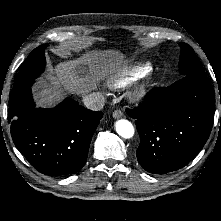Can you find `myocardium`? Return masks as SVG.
<instances>
[{
    "instance_id": "1",
    "label": "myocardium",
    "mask_w": 221,
    "mask_h": 221,
    "mask_svg": "<svg viewBox=\"0 0 221 221\" xmlns=\"http://www.w3.org/2000/svg\"><path fill=\"white\" fill-rule=\"evenodd\" d=\"M152 82V77H148L143 83H141L133 92V97L137 100H141L147 94Z\"/></svg>"
}]
</instances>
